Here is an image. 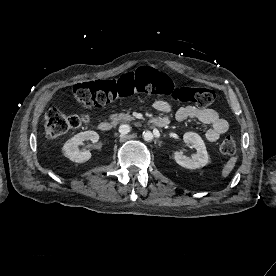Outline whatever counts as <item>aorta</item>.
Listing matches in <instances>:
<instances>
[{
	"instance_id": "obj_1",
	"label": "aorta",
	"mask_w": 276,
	"mask_h": 276,
	"mask_svg": "<svg viewBox=\"0 0 276 276\" xmlns=\"http://www.w3.org/2000/svg\"><path fill=\"white\" fill-rule=\"evenodd\" d=\"M143 138L145 141H151L153 139V134L151 131L143 132Z\"/></svg>"
}]
</instances>
